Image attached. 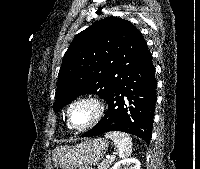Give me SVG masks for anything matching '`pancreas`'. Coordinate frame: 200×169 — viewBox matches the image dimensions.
Instances as JSON below:
<instances>
[{"label": "pancreas", "mask_w": 200, "mask_h": 169, "mask_svg": "<svg viewBox=\"0 0 200 169\" xmlns=\"http://www.w3.org/2000/svg\"><path fill=\"white\" fill-rule=\"evenodd\" d=\"M112 162L113 159L105 160L98 165V169H108Z\"/></svg>", "instance_id": "pancreas-1"}]
</instances>
